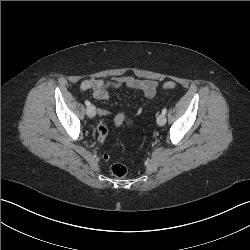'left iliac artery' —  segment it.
Returning a JSON list of instances; mask_svg holds the SVG:
<instances>
[{
    "label": "left iliac artery",
    "mask_w": 250,
    "mask_h": 250,
    "mask_svg": "<svg viewBox=\"0 0 250 250\" xmlns=\"http://www.w3.org/2000/svg\"><path fill=\"white\" fill-rule=\"evenodd\" d=\"M166 113H167V109L164 108V109L162 110V114L165 115Z\"/></svg>",
    "instance_id": "obj_1"
}]
</instances>
